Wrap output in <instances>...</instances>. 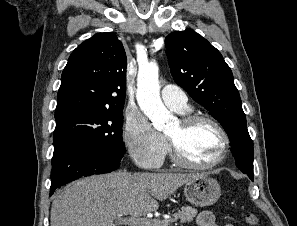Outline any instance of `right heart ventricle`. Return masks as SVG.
I'll use <instances>...</instances> for the list:
<instances>
[{
	"label": "right heart ventricle",
	"instance_id": "right-heart-ventricle-1",
	"mask_svg": "<svg viewBox=\"0 0 297 226\" xmlns=\"http://www.w3.org/2000/svg\"><path fill=\"white\" fill-rule=\"evenodd\" d=\"M177 112V111H176ZM189 112V109L188 110H185V111H181V112H178V113H180V114H186V113H188Z\"/></svg>",
	"mask_w": 297,
	"mask_h": 226
}]
</instances>
